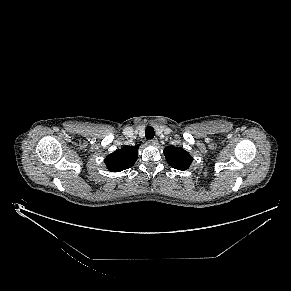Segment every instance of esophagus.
Here are the masks:
<instances>
[{
  "mask_svg": "<svg viewBox=\"0 0 291 291\" xmlns=\"http://www.w3.org/2000/svg\"><path fill=\"white\" fill-rule=\"evenodd\" d=\"M149 144L151 145H157L158 144V140L157 139H151L148 141Z\"/></svg>",
  "mask_w": 291,
  "mask_h": 291,
  "instance_id": "1",
  "label": "esophagus"
}]
</instances>
